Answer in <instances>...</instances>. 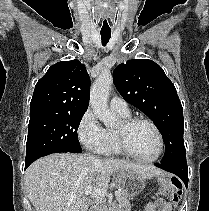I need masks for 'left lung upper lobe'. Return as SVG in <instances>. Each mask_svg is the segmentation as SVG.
<instances>
[{
	"label": "left lung upper lobe",
	"instance_id": "left-lung-upper-lobe-1",
	"mask_svg": "<svg viewBox=\"0 0 209 211\" xmlns=\"http://www.w3.org/2000/svg\"><path fill=\"white\" fill-rule=\"evenodd\" d=\"M113 79L121 96L156 123L166 144L161 163L186 159L182 105L163 69L152 60L134 59L118 65Z\"/></svg>",
	"mask_w": 209,
	"mask_h": 211
}]
</instances>
